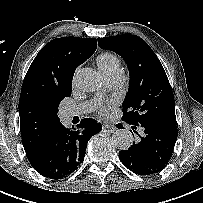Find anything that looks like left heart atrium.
Wrapping results in <instances>:
<instances>
[{
  "label": "left heart atrium",
  "instance_id": "1",
  "mask_svg": "<svg viewBox=\"0 0 203 203\" xmlns=\"http://www.w3.org/2000/svg\"><path fill=\"white\" fill-rule=\"evenodd\" d=\"M98 111L102 114L106 113L108 111V106H99L98 108Z\"/></svg>",
  "mask_w": 203,
  "mask_h": 203
}]
</instances>
